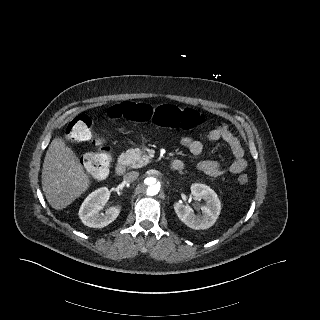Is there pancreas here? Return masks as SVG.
<instances>
[{
	"mask_svg": "<svg viewBox=\"0 0 320 320\" xmlns=\"http://www.w3.org/2000/svg\"><path fill=\"white\" fill-rule=\"evenodd\" d=\"M118 162L128 168H140L149 163V157L139 148L129 149L122 153L118 158Z\"/></svg>",
	"mask_w": 320,
	"mask_h": 320,
	"instance_id": "cf45deb5",
	"label": "pancreas"
}]
</instances>
